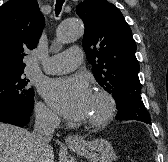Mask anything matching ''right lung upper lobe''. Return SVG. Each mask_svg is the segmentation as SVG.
Listing matches in <instances>:
<instances>
[{
  "label": "right lung upper lobe",
  "instance_id": "right-lung-upper-lobe-1",
  "mask_svg": "<svg viewBox=\"0 0 168 162\" xmlns=\"http://www.w3.org/2000/svg\"><path fill=\"white\" fill-rule=\"evenodd\" d=\"M43 27L36 0H10L0 7V75L24 72L23 59L36 48Z\"/></svg>",
  "mask_w": 168,
  "mask_h": 162
}]
</instances>
